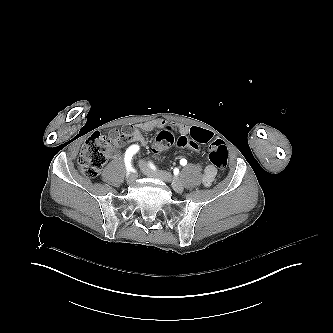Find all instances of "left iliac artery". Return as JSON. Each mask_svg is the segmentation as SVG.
<instances>
[{"mask_svg":"<svg viewBox=\"0 0 333 333\" xmlns=\"http://www.w3.org/2000/svg\"><path fill=\"white\" fill-rule=\"evenodd\" d=\"M180 164L183 165V166H185V165L187 164V160H186V159H181V160H180ZM150 166H151L153 169H155V166H153L152 164H150Z\"/></svg>","mask_w":333,"mask_h":333,"instance_id":"obj_1","label":"left iliac artery"}]
</instances>
